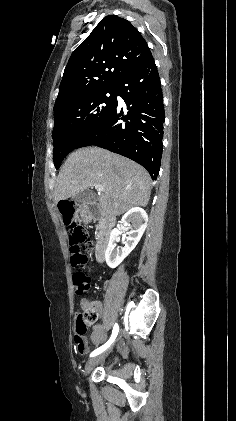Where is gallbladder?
Wrapping results in <instances>:
<instances>
[{
  "label": "gallbladder",
  "instance_id": "1",
  "mask_svg": "<svg viewBox=\"0 0 236 421\" xmlns=\"http://www.w3.org/2000/svg\"><path fill=\"white\" fill-rule=\"evenodd\" d=\"M73 200H76V202H88V192L87 190H81V192H77V194H74L72 196Z\"/></svg>",
  "mask_w": 236,
  "mask_h": 421
}]
</instances>
